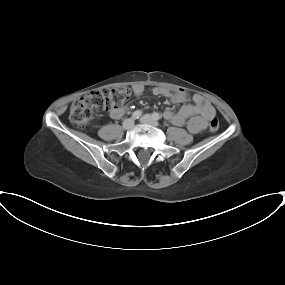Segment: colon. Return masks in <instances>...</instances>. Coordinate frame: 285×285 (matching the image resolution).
Listing matches in <instances>:
<instances>
[{"label": "colon", "instance_id": "1", "mask_svg": "<svg viewBox=\"0 0 285 285\" xmlns=\"http://www.w3.org/2000/svg\"><path fill=\"white\" fill-rule=\"evenodd\" d=\"M183 93L186 99L190 98L188 93ZM128 96L129 91L125 88H104L90 92L71 105L69 120L74 126L83 128L92 121L95 114L121 106L126 102ZM219 126L220 124L217 118L214 117L210 120L209 129L212 132L218 131Z\"/></svg>", "mask_w": 285, "mask_h": 285}]
</instances>
